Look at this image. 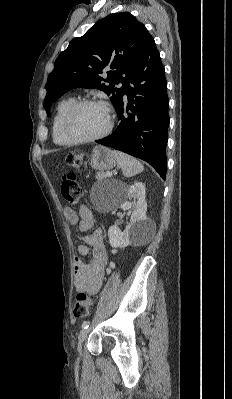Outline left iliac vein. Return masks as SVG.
Returning <instances> with one entry per match:
<instances>
[{"instance_id":"left-iliac-vein-1","label":"left iliac vein","mask_w":232,"mask_h":399,"mask_svg":"<svg viewBox=\"0 0 232 399\" xmlns=\"http://www.w3.org/2000/svg\"><path fill=\"white\" fill-rule=\"evenodd\" d=\"M87 335H89V329L85 328L82 330V332H78V344H77V350L81 351L82 350V344L83 340H86Z\"/></svg>"}]
</instances>
